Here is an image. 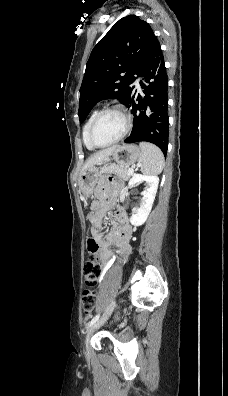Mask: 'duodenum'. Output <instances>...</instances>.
<instances>
[{
  "label": "duodenum",
  "instance_id": "1",
  "mask_svg": "<svg viewBox=\"0 0 228 396\" xmlns=\"http://www.w3.org/2000/svg\"><path fill=\"white\" fill-rule=\"evenodd\" d=\"M117 220V226L116 229L119 233L120 236L125 235V233H129L130 232V227L127 225L126 221L123 220V218H116Z\"/></svg>",
  "mask_w": 228,
  "mask_h": 396
}]
</instances>
